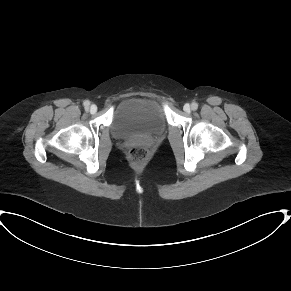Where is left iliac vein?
Returning <instances> with one entry per match:
<instances>
[{"instance_id": "obj_1", "label": "left iliac vein", "mask_w": 291, "mask_h": 291, "mask_svg": "<svg viewBox=\"0 0 291 291\" xmlns=\"http://www.w3.org/2000/svg\"><path fill=\"white\" fill-rule=\"evenodd\" d=\"M183 109H184L185 112H190V110H191L189 104H185Z\"/></svg>"}]
</instances>
